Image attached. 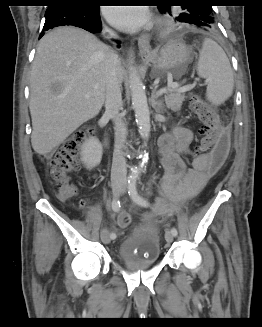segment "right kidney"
I'll use <instances>...</instances> for the list:
<instances>
[{"instance_id": "right-kidney-1", "label": "right kidney", "mask_w": 262, "mask_h": 327, "mask_svg": "<svg viewBox=\"0 0 262 327\" xmlns=\"http://www.w3.org/2000/svg\"><path fill=\"white\" fill-rule=\"evenodd\" d=\"M81 150V160L88 169H92L100 164L102 146L97 138L92 137L85 141Z\"/></svg>"}]
</instances>
